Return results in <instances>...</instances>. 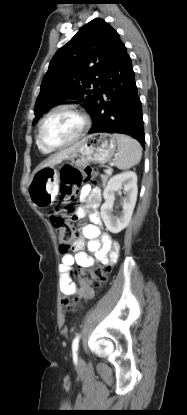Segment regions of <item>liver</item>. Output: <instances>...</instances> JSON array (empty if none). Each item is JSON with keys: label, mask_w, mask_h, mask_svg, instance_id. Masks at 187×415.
Listing matches in <instances>:
<instances>
[{"label": "liver", "mask_w": 187, "mask_h": 415, "mask_svg": "<svg viewBox=\"0 0 187 415\" xmlns=\"http://www.w3.org/2000/svg\"><path fill=\"white\" fill-rule=\"evenodd\" d=\"M78 146V143L67 148L64 149L56 154H54L53 156H51L44 164L40 165L36 171L38 169H41L43 167H49V166H54L60 162H62L64 159H66L68 157L69 154H71Z\"/></svg>", "instance_id": "obj_1"}]
</instances>
